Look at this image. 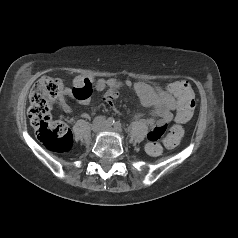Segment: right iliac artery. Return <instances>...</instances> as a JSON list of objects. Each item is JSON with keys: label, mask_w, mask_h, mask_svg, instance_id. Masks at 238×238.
<instances>
[{"label": "right iliac artery", "mask_w": 238, "mask_h": 238, "mask_svg": "<svg viewBox=\"0 0 238 238\" xmlns=\"http://www.w3.org/2000/svg\"><path fill=\"white\" fill-rule=\"evenodd\" d=\"M106 124L111 126L114 124V119L112 117H109L107 120H106Z\"/></svg>", "instance_id": "right-iliac-artery-1"}]
</instances>
